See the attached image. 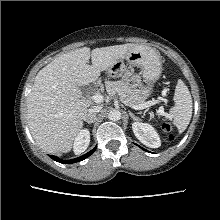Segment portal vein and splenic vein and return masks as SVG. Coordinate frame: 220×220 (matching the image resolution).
<instances>
[{
  "mask_svg": "<svg viewBox=\"0 0 220 220\" xmlns=\"http://www.w3.org/2000/svg\"><path fill=\"white\" fill-rule=\"evenodd\" d=\"M91 99H92L94 102H96V103H101V102H103L104 97H103L102 95H100V94H95V95H93V96L91 97ZM156 102H158V101H148V102H146V103H144V104H142V105H139V106H131V107H132L133 109H135V110H143V109H146V108H148V107L154 105ZM159 112H160L161 114H163V108H162V107L159 109Z\"/></svg>",
  "mask_w": 220,
  "mask_h": 220,
  "instance_id": "1",
  "label": "portal vein and splenic vein"
}]
</instances>
